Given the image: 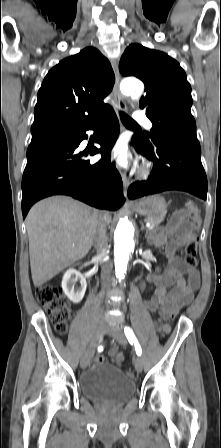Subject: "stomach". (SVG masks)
I'll list each match as a JSON object with an SVG mask.
<instances>
[{
	"label": "stomach",
	"instance_id": "1",
	"mask_svg": "<svg viewBox=\"0 0 221 448\" xmlns=\"http://www.w3.org/2000/svg\"><path fill=\"white\" fill-rule=\"evenodd\" d=\"M131 207L141 215L155 217L166 213L167 203L163 197L153 195L132 203Z\"/></svg>",
	"mask_w": 221,
	"mask_h": 448
}]
</instances>
